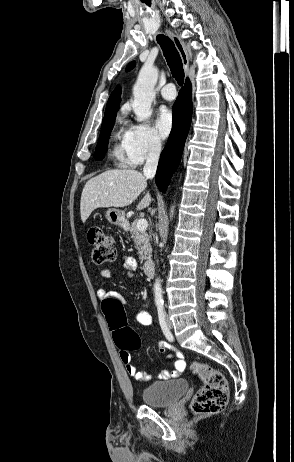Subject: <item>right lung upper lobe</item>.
Listing matches in <instances>:
<instances>
[{
  "label": "right lung upper lobe",
  "mask_w": 294,
  "mask_h": 462,
  "mask_svg": "<svg viewBox=\"0 0 294 462\" xmlns=\"http://www.w3.org/2000/svg\"><path fill=\"white\" fill-rule=\"evenodd\" d=\"M120 94H121V88L117 87L113 93L110 95L106 110H105V115L104 117L110 116V115H116V112L119 109V103H120Z\"/></svg>",
  "instance_id": "right-lung-upper-lobe-1"
}]
</instances>
